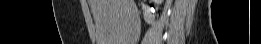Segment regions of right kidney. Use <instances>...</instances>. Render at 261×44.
<instances>
[{
    "instance_id": "1",
    "label": "right kidney",
    "mask_w": 261,
    "mask_h": 44,
    "mask_svg": "<svg viewBox=\"0 0 261 44\" xmlns=\"http://www.w3.org/2000/svg\"><path fill=\"white\" fill-rule=\"evenodd\" d=\"M162 0H159L161 2ZM153 8L146 7L143 12L144 20L147 24H152L155 20V17L153 15Z\"/></svg>"
}]
</instances>
